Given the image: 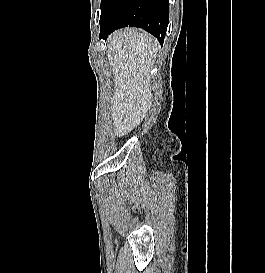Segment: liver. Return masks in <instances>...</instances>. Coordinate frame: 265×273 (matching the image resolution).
<instances>
[{
	"mask_svg": "<svg viewBox=\"0 0 265 273\" xmlns=\"http://www.w3.org/2000/svg\"><path fill=\"white\" fill-rule=\"evenodd\" d=\"M108 60L114 74L111 106L117 136L137 127L151 104L150 70L158 51L157 40L134 28L114 32L108 39Z\"/></svg>",
	"mask_w": 265,
	"mask_h": 273,
	"instance_id": "obj_1",
	"label": "liver"
}]
</instances>
